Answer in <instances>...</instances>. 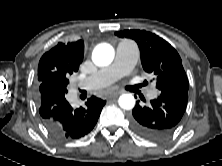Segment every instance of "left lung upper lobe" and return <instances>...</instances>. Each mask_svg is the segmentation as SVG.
I'll list each match as a JSON object with an SVG mask.
<instances>
[{
    "mask_svg": "<svg viewBox=\"0 0 222 166\" xmlns=\"http://www.w3.org/2000/svg\"><path fill=\"white\" fill-rule=\"evenodd\" d=\"M116 35L121 38H131L137 42L142 66L146 72L157 76L156 87L159 90L168 86L189 88L179 54L164 39L145 30L117 31Z\"/></svg>",
    "mask_w": 222,
    "mask_h": 166,
    "instance_id": "1",
    "label": "left lung upper lobe"
}]
</instances>
